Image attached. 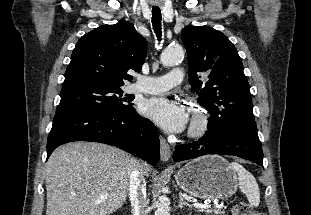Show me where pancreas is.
Wrapping results in <instances>:
<instances>
[{"instance_id":"cf45deb5","label":"pancreas","mask_w":311,"mask_h":215,"mask_svg":"<svg viewBox=\"0 0 311 215\" xmlns=\"http://www.w3.org/2000/svg\"><path fill=\"white\" fill-rule=\"evenodd\" d=\"M200 211L206 212V213H214V214H223L224 210H221L220 208H211V209H201Z\"/></svg>"}]
</instances>
